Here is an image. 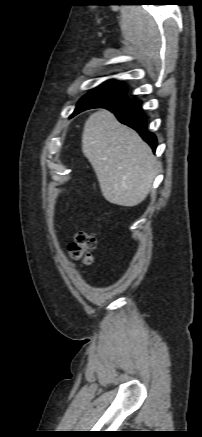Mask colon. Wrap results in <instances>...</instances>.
I'll list each match as a JSON object with an SVG mask.
<instances>
[{
	"label": "colon",
	"mask_w": 202,
	"mask_h": 437,
	"mask_svg": "<svg viewBox=\"0 0 202 437\" xmlns=\"http://www.w3.org/2000/svg\"><path fill=\"white\" fill-rule=\"evenodd\" d=\"M95 246V237L87 232L80 231L75 235L74 240L69 244L68 251L73 260L80 261L85 265H89L93 260L91 250L94 249Z\"/></svg>",
	"instance_id": "1"
}]
</instances>
